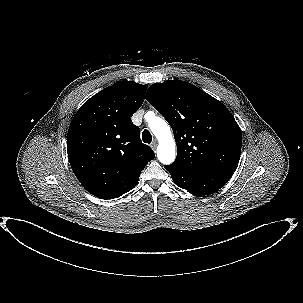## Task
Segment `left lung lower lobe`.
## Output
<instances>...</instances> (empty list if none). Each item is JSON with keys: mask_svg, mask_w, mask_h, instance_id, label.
Returning <instances> with one entry per match:
<instances>
[{"mask_svg": "<svg viewBox=\"0 0 303 303\" xmlns=\"http://www.w3.org/2000/svg\"><path fill=\"white\" fill-rule=\"evenodd\" d=\"M175 184L195 196L212 194L220 189L232 176L230 171L186 172L165 166Z\"/></svg>", "mask_w": 303, "mask_h": 303, "instance_id": "1", "label": "left lung lower lobe"}]
</instances>
